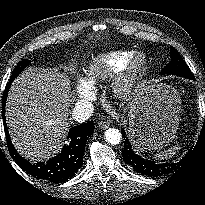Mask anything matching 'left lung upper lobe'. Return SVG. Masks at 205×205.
Wrapping results in <instances>:
<instances>
[{
  "instance_id": "1",
  "label": "left lung upper lobe",
  "mask_w": 205,
  "mask_h": 205,
  "mask_svg": "<svg viewBox=\"0 0 205 205\" xmlns=\"http://www.w3.org/2000/svg\"><path fill=\"white\" fill-rule=\"evenodd\" d=\"M170 56H171V62H169L162 70L163 75L174 74L185 78L194 77V75L189 70L187 64L181 58L177 50L172 46L170 47Z\"/></svg>"
}]
</instances>
